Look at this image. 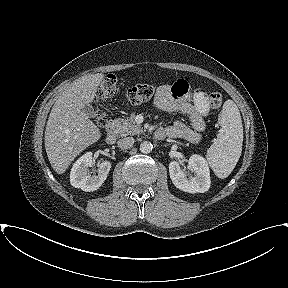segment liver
I'll return each mask as SVG.
<instances>
[{
	"label": "liver",
	"instance_id": "1",
	"mask_svg": "<svg viewBox=\"0 0 288 288\" xmlns=\"http://www.w3.org/2000/svg\"><path fill=\"white\" fill-rule=\"evenodd\" d=\"M102 73L89 74L72 83L54 103L45 130V150L58 174L87 147L101 138L100 129L82 111L93 102Z\"/></svg>",
	"mask_w": 288,
	"mask_h": 288
}]
</instances>
